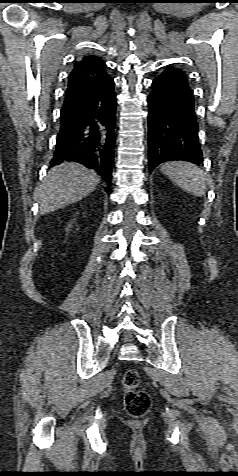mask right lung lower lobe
<instances>
[{"instance_id": "right-lung-lower-lobe-1", "label": "right lung lower lobe", "mask_w": 238, "mask_h": 476, "mask_svg": "<svg viewBox=\"0 0 238 476\" xmlns=\"http://www.w3.org/2000/svg\"><path fill=\"white\" fill-rule=\"evenodd\" d=\"M116 95L109 77L82 101L63 108L52 165L75 161L94 169L110 190L115 146Z\"/></svg>"}]
</instances>
